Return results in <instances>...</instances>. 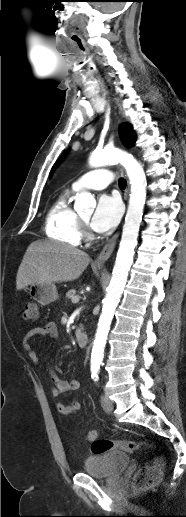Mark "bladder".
<instances>
[{"mask_svg": "<svg viewBox=\"0 0 186 517\" xmlns=\"http://www.w3.org/2000/svg\"><path fill=\"white\" fill-rule=\"evenodd\" d=\"M130 455L111 451L88 458L84 463V472L95 478L107 479L120 475L129 465Z\"/></svg>", "mask_w": 186, "mask_h": 517, "instance_id": "1", "label": "bladder"}]
</instances>
